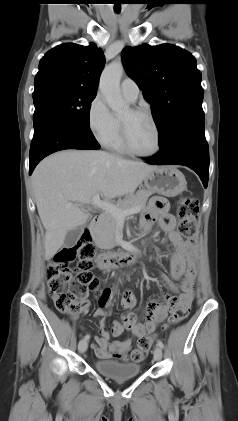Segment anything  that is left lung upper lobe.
<instances>
[{"label":"left lung upper lobe","mask_w":238,"mask_h":421,"mask_svg":"<svg viewBox=\"0 0 238 421\" xmlns=\"http://www.w3.org/2000/svg\"><path fill=\"white\" fill-rule=\"evenodd\" d=\"M123 64L151 104L159 144L185 122L204 118L201 73L189 52L170 44L125 47Z\"/></svg>","instance_id":"left-lung-upper-lobe-1"}]
</instances>
